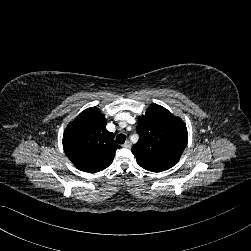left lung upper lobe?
Listing matches in <instances>:
<instances>
[{
    "label": "left lung upper lobe",
    "mask_w": 251,
    "mask_h": 251,
    "mask_svg": "<svg viewBox=\"0 0 251 251\" xmlns=\"http://www.w3.org/2000/svg\"><path fill=\"white\" fill-rule=\"evenodd\" d=\"M136 130L139 141L131 150L139 166L168 170L179 161L187 145L184 122L157 104H151L138 118Z\"/></svg>",
    "instance_id": "5c2ea615"
}]
</instances>
